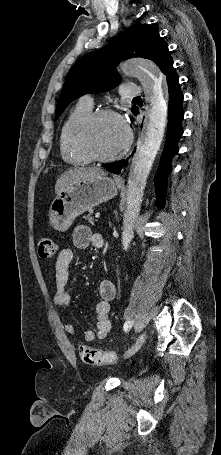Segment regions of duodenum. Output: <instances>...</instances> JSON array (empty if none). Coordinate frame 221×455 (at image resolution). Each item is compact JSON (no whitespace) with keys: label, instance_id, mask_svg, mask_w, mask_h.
Instances as JSON below:
<instances>
[{"label":"duodenum","instance_id":"1","mask_svg":"<svg viewBox=\"0 0 221 455\" xmlns=\"http://www.w3.org/2000/svg\"><path fill=\"white\" fill-rule=\"evenodd\" d=\"M104 245V238L97 243V247L101 248Z\"/></svg>","mask_w":221,"mask_h":455}]
</instances>
